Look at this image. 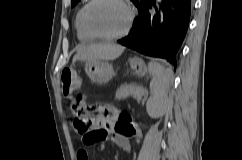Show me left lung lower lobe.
Masks as SVG:
<instances>
[{
	"label": "left lung lower lobe",
	"instance_id": "obj_1",
	"mask_svg": "<svg viewBox=\"0 0 242 160\" xmlns=\"http://www.w3.org/2000/svg\"><path fill=\"white\" fill-rule=\"evenodd\" d=\"M191 7L192 0H162L158 6L156 0H146L130 34L118 42L176 66V53L188 29Z\"/></svg>",
	"mask_w": 242,
	"mask_h": 160
}]
</instances>
